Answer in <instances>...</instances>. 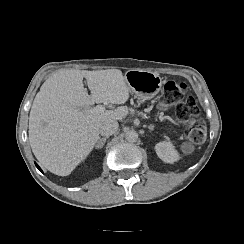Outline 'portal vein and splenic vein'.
<instances>
[{"label": "portal vein and splenic vein", "mask_w": 244, "mask_h": 244, "mask_svg": "<svg viewBox=\"0 0 244 244\" xmlns=\"http://www.w3.org/2000/svg\"><path fill=\"white\" fill-rule=\"evenodd\" d=\"M105 110V107H103V106H97V108H96V111L97 112H101V111H104Z\"/></svg>", "instance_id": "1"}]
</instances>
